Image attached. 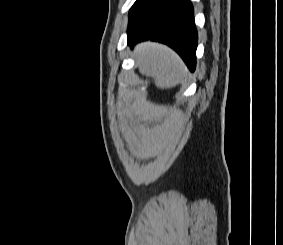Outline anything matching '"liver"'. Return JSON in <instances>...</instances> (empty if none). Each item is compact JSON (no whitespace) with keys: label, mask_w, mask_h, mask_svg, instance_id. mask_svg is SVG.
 <instances>
[{"label":"liver","mask_w":283,"mask_h":245,"mask_svg":"<svg viewBox=\"0 0 283 245\" xmlns=\"http://www.w3.org/2000/svg\"><path fill=\"white\" fill-rule=\"evenodd\" d=\"M135 59L142 75L152 77L160 89L183 83L188 71L179 56L165 45L153 42L140 44Z\"/></svg>","instance_id":"6515ba94"}]
</instances>
